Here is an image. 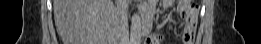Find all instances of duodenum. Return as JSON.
I'll return each mask as SVG.
<instances>
[{"instance_id": "1", "label": "duodenum", "mask_w": 261, "mask_h": 44, "mask_svg": "<svg viewBox=\"0 0 261 44\" xmlns=\"http://www.w3.org/2000/svg\"><path fill=\"white\" fill-rule=\"evenodd\" d=\"M152 19L150 16L144 14L142 16L141 31L143 35H149L151 32Z\"/></svg>"}]
</instances>
